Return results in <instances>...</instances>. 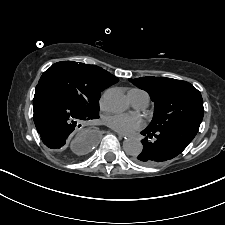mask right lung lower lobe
<instances>
[{"label": "right lung lower lobe", "mask_w": 225, "mask_h": 225, "mask_svg": "<svg viewBox=\"0 0 225 225\" xmlns=\"http://www.w3.org/2000/svg\"><path fill=\"white\" fill-rule=\"evenodd\" d=\"M33 111L34 123L43 143L57 151H62L66 147L69 137L81 126L80 123L96 119L45 85L36 86ZM94 143L90 137L88 147Z\"/></svg>", "instance_id": "obj_1"}]
</instances>
